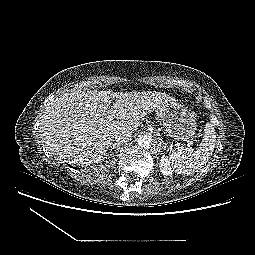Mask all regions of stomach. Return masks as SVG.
<instances>
[{
  "label": "stomach",
  "instance_id": "stomach-1",
  "mask_svg": "<svg viewBox=\"0 0 255 255\" xmlns=\"http://www.w3.org/2000/svg\"><path fill=\"white\" fill-rule=\"evenodd\" d=\"M170 137L175 140L193 138L197 129L196 115L176 100L169 101L157 111Z\"/></svg>",
  "mask_w": 255,
  "mask_h": 255
}]
</instances>
